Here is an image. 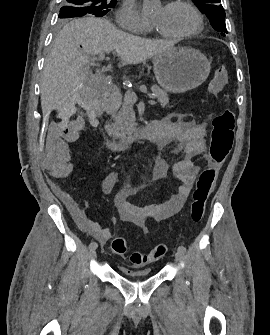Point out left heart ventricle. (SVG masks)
<instances>
[{
  "label": "left heart ventricle",
  "instance_id": "1",
  "mask_svg": "<svg viewBox=\"0 0 270 335\" xmlns=\"http://www.w3.org/2000/svg\"><path fill=\"white\" fill-rule=\"evenodd\" d=\"M149 20L159 31L169 35L189 32L197 24L194 14L186 5L178 7L161 6Z\"/></svg>",
  "mask_w": 270,
  "mask_h": 335
}]
</instances>
